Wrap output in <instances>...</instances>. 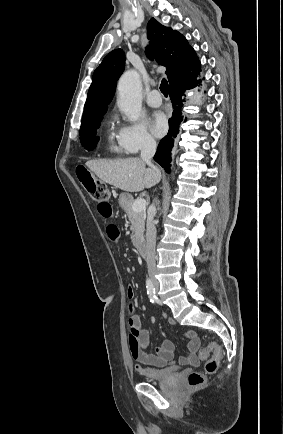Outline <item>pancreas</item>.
I'll use <instances>...</instances> for the list:
<instances>
[{"label": "pancreas", "instance_id": "obj_1", "mask_svg": "<svg viewBox=\"0 0 283 434\" xmlns=\"http://www.w3.org/2000/svg\"><path fill=\"white\" fill-rule=\"evenodd\" d=\"M134 201H132L127 207L123 208L126 212L128 220L131 224V240L135 247H137L144 240L145 230V212H135L132 209Z\"/></svg>", "mask_w": 283, "mask_h": 434}]
</instances>
